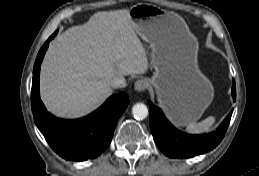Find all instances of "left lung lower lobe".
I'll return each instance as SVG.
<instances>
[{"instance_id": "1", "label": "left lung lower lobe", "mask_w": 259, "mask_h": 176, "mask_svg": "<svg viewBox=\"0 0 259 176\" xmlns=\"http://www.w3.org/2000/svg\"><path fill=\"white\" fill-rule=\"evenodd\" d=\"M232 96L236 99V87L233 80ZM150 129L155 143L160 150L171 158H190L199 154H204L214 149L223 139L233 109L224 119L215 132L207 135H190L177 130L165 117L162 110L154 106L150 101Z\"/></svg>"}]
</instances>
